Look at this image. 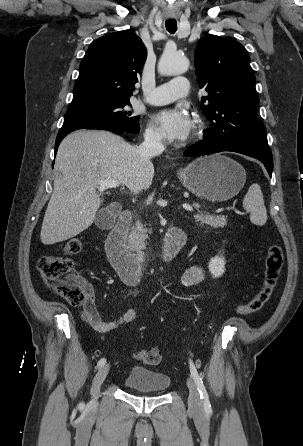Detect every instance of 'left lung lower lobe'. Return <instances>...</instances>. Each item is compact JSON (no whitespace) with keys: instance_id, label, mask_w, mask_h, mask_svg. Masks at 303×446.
I'll list each match as a JSON object with an SVG mask.
<instances>
[{"instance_id":"1","label":"left lung lower lobe","mask_w":303,"mask_h":446,"mask_svg":"<svg viewBox=\"0 0 303 446\" xmlns=\"http://www.w3.org/2000/svg\"><path fill=\"white\" fill-rule=\"evenodd\" d=\"M222 151H233L256 158L264 164L269 175L271 176L272 174V169H273L272 153L269 148L263 146L249 145L236 142L216 143V142L201 141L195 146L188 148L184 152V156L197 157L201 155L213 154Z\"/></svg>"}]
</instances>
